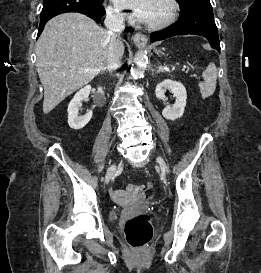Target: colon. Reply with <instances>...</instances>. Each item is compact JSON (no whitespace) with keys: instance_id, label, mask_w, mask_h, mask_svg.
I'll list each match as a JSON object with an SVG mask.
<instances>
[{"instance_id":"obj_1","label":"colon","mask_w":261,"mask_h":273,"mask_svg":"<svg viewBox=\"0 0 261 273\" xmlns=\"http://www.w3.org/2000/svg\"><path fill=\"white\" fill-rule=\"evenodd\" d=\"M126 193L130 198L143 199L146 197V189L140 185L129 184L126 187ZM115 199L122 197L121 193H114ZM124 233L127 242L134 248L146 246L153 234L152 226L146 215H138L128 220L124 227Z\"/></svg>"}]
</instances>
